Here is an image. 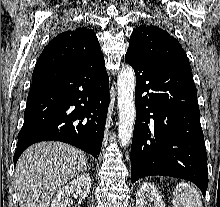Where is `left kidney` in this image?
<instances>
[{"label": "left kidney", "mask_w": 220, "mask_h": 207, "mask_svg": "<svg viewBox=\"0 0 220 207\" xmlns=\"http://www.w3.org/2000/svg\"><path fill=\"white\" fill-rule=\"evenodd\" d=\"M148 202H153L154 207H165V204L156 187L146 182L137 191L136 207H147Z\"/></svg>", "instance_id": "obj_1"}]
</instances>
